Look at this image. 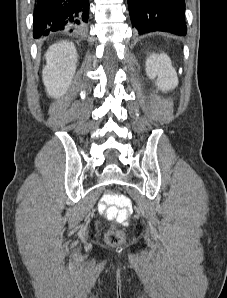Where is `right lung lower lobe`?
I'll return each instance as SVG.
<instances>
[{"mask_svg": "<svg viewBox=\"0 0 227 298\" xmlns=\"http://www.w3.org/2000/svg\"><path fill=\"white\" fill-rule=\"evenodd\" d=\"M89 0H38L34 9V38L51 31L76 30L88 21Z\"/></svg>", "mask_w": 227, "mask_h": 298, "instance_id": "1", "label": "right lung lower lobe"}]
</instances>
